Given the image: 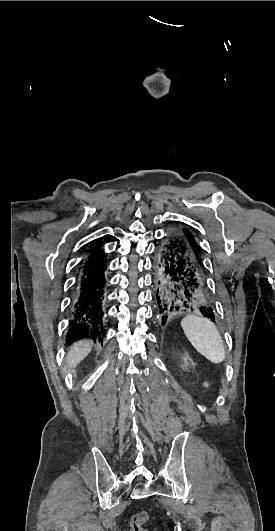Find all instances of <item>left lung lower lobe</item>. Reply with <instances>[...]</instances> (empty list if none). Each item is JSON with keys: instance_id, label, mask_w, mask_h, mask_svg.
Masks as SVG:
<instances>
[{"instance_id": "left-lung-lower-lobe-1", "label": "left lung lower lobe", "mask_w": 275, "mask_h": 531, "mask_svg": "<svg viewBox=\"0 0 275 531\" xmlns=\"http://www.w3.org/2000/svg\"><path fill=\"white\" fill-rule=\"evenodd\" d=\"M155 299L162 324L177 312H195L215 322L202 265L181 230H173L154 258Z\"/></svg>"}]
</instances>
